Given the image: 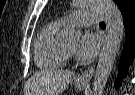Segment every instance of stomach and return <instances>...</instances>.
<instances>
[{"label":"stomach","instance_id":"stomach-1","mask_svg":"<svg viewBox=\"0 0 135 95\" xmlns=\"http://www.w3.org/2000/svg\"><path fill=\"white\" fill-rule=\"evenodd\" d=\"M86 86H87L86 83H77V84H76V87H77L78 89H84Z\"/></svg>","mask_w":135,"mask_h":95}]
</instances>
